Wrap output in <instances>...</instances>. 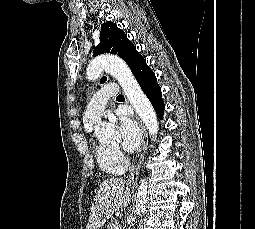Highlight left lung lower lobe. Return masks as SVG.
<instances>
[{
  "mask_svg": "<svg viewBox=\"0 0 255 229\" xmlns=\"http://www.w3.org/2000/svg\"><path fill=\"white\" fill-rule=\"evenodd\" d=\"M132 73L154 107L159 118L163 119L165 106L162 99L161 88L157 83L155 73L146 64L143 57L139 59Z\"/></svg>",
  "mask_w": 255,
  "mask_h": 229,
  "instance_id": "1",
  "label": "left lung lower lobe"
}]
</instances>
